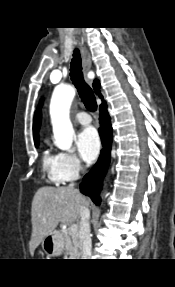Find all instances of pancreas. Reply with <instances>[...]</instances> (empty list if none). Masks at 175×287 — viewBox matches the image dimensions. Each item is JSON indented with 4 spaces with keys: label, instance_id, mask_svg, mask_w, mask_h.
Returning a JSON list of instances; mask_svg holds the SVG:
<instances>
[{
    "label": "pancreas",
    "instance_id": "1",
    "mask_svg": "<svg viewBox=\"0 0 175 287\" xmlns=\"http://www.w3.org/2000/svg\"><path fill=\"white\" fill-rule=\"evenodd\" d=\"M62 235L65 240V251L70 255L71 258H76L80 256L81 243L79 240L78 232H71L68 229L62 230Z\"/></svg>",
    "mask_w": 175,
    "mask_h": 287
}]
</instances>
